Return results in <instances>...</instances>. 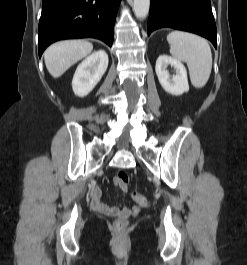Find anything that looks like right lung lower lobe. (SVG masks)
Returning a JSON list of instances; mask_svg holds the SVG:
<instances>
[{
    "mask_svg": "<svg viewBox=\"0 0 247 265\" xmlns=\"http://www.w3.org/2000/svg\"><path fill=\"white\" fill-rule=\"evenodd\" d=\"M121 0H43L38 26L39 56L62 39L97 38L112 46Z\"/></svg>",
    "mask_w": 247,
    "mask_h": 265,
    "instance_id": "1",
    "label": "right lung lower lobe"
}]
</instances>
